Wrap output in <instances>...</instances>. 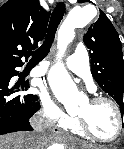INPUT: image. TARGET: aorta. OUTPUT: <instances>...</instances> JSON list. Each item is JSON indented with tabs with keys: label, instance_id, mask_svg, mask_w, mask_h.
I'll return each mask as SVG.
<instances>
[{
	"label": "aorta",
	"instance_id": "1",
	"mask_svg": "<svg viewBox=\"0 0 124 149\" xmlns=\"http://www.w3.org/2000/svg\"><path fill=\"white\" fill-rule=\"evenodd\" d=\"M88 19L82 9H73L69 12L60 29V41L63 45L69 43L74 37L75 28L88 24ZM49 83L55 95L62 100H74L78 90L63 66L53 68L48 76ZM50 149H61L60 145H53Z\"/></svg>",
	"mask_w": 124,
	"mask_h": 149
}]
</instances>
